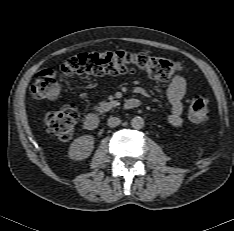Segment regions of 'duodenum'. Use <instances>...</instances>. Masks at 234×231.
Returning a JSON list of instances; mask_svg holds the SVG:
<instances>
[{
    "label": "duodenum",
    "mask_w": 234,
    "mask_h": 231,
    "mask_svg": "<svg viewBox=\"0 0 234 231\" xmlns=\"http://www.w3.org/2000/svg\"><path fill=\"white\" fill-rule=\"evenodd\" d=\"M141 102L137 98H129L125 101L126 109H136L140 106ZM84 126L88 130L97 129L100 126V118L96 113H89L84 119Z\"/></svg>",
    "instance_id": "obj_1"
}]
</instances>
